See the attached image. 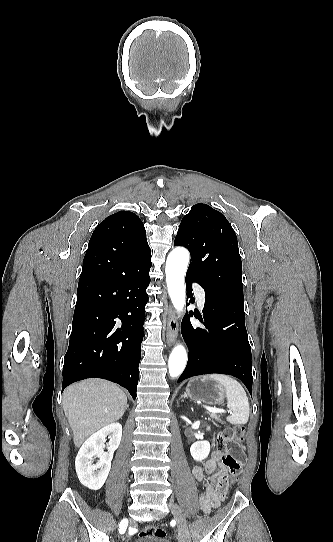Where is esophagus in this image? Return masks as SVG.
<instances>
[{
	"label": "esophagus",
	"instance_id": "34e87169",
	"mask_svg": "<svg viewBox=\"0 0 333 542\" xmlns=\"http://www.w3.org/2000/svg\"><path fill=\"white\" fill-rule=\"evenodd\" d=\"M178 336V323L176 318V313L173 309H170L167 315V331L166 339L169 346H172Z\"/></svg>",
	"mask_w": 333,
	"mask_h": 542
}]
</instances>
